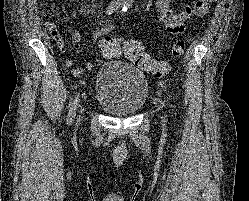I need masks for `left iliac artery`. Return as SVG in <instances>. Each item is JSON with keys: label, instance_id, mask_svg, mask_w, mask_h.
I'll return each mask as SVG.
<instances>
[{"label": "left iliac artery", "instance_id": "obj_1", "mask_svg": "<svg viewBox=\"0 0 249 201\" xmlns=\"http://www.w3.org/2000/svg\"><path fill=\"white\" fill-rule=\"evenodd\" d=\"M132 4V0H126L125 4L123 5L122 11L125 13L128 11Z\"/></svg>", "mask_w": 249, "mask_h": 201}]
</instances>
